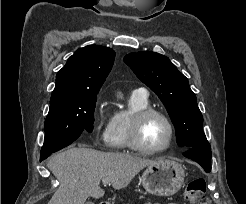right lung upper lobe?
I'll return each mask as SVG.
<instances>
[{
  "instance_id": "1",
  "label": "right lung upper lobe",
  "mask_w": 246,
  "mask_h": 204,
  "mask_svg": "<svg viewBox=\"0 0 246 204\" xmlns=\"http://www.w3.org/2000/svg\"><path fill=\"white\" fill-rule=\"evenodd\" d=\"M115 52L108 47L80 48L58 71L51 101L97 94L114 63Z\"/></svg>"
}]
</instances>
